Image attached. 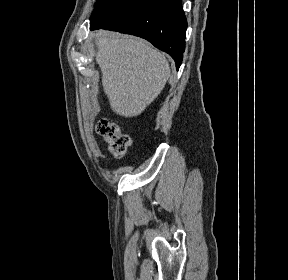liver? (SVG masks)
<instances>
[{"instance_id": "1", "label": "liver", "mask_w": 288, "mask_h": 280, "mask_svg": "<svg viewBox=\"0 0 288 280\" xmlns=\"http://www.w3.org/2000/svg\"><path fill=\"white\" fill-rule=\"evenodd\" d=\"M96 62L111 109L125 117L140 115L163 90L170 67L166 58L135 37L96 34Z\"/></svg>"}]
</instances>
